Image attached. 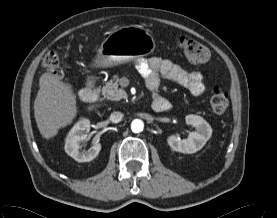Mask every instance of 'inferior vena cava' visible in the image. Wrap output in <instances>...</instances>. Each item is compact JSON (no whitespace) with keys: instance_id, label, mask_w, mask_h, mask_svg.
Returning a JSON list of instances; mask_svg holds the SVG:
<instances>
[{"instance_id":"inferior-vena-cava-1","label":"inferior vena cava","mask_w":277,"mask_h":218,"mask_svg":"<svg viewBox=\"0 0 277 218\" xmlns=\"http://www.w3.org/2000/svg\"><path fill=\"white\" fill-rule=\"evenodd\" d=\"M123 118V114L119 111H114L111 113L110 117H109V120L112 122V123H119Z\"/></svg>"}]
</instances>
